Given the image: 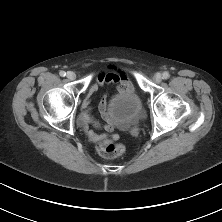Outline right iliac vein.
<instances>
[{
  "instance_id": "63e3f726",
  "label": "right iliac vein",
  "mask_w": 222,
  "mask_h": 222,
  "mask_svg": "<svg viewBox=\"0 0 222 222\" xmlns=\"http://www.w3.org/2000/svg\"><path fill=\"white\" fill-rule=\"evenodd\" d=\"M67 78L70 80H74L76 78V74L73 71L67 72Z\"/></svg>"
}]
</instances>
